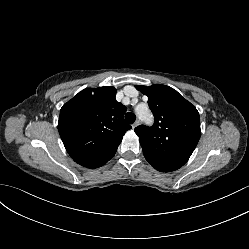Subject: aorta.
I'll list each match as a JSON object with an SVG mask.
<instances>
[{"mask_svg":"<svg viewBox=\"0 0 249 249\" xmlns=\"http://www.w3.org/2000/svg\"><path fill=\"white\" fill-rule=\"evenodd\" d=\"M137 115L139 116V118L141 120H149V119H151V115H150L147 108L144 109V110L137 109Z\"/></svg>","mask_w":249,"mask_h":249,"instance_id":"762f6f07","label":"aorta"}]
</instances>
